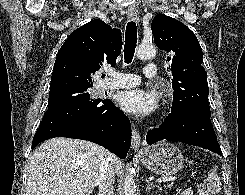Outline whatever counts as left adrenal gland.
<instances>
[{"instance_id":"1","label":"left adrenal gland","mask_w":245,"mask_h":195,"mask_svg":"<svg viewBox=\"0 0 245 195\" xmlns=\"http://www.w3.org/2000/svg\"><path fill=\"white\" fill-rule=\"evenodd\" d=\"M146 182H147V188H146L147 192H149L152 188H157L161 190V187L159 185L153 184L149 179H146Z\"/></svg>"}]
</instances>
